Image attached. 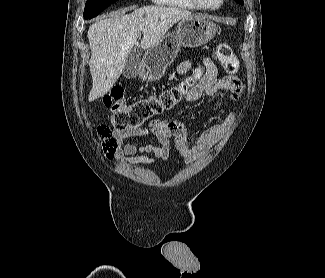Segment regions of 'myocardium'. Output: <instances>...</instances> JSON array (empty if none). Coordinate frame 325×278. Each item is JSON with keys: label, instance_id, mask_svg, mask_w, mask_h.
<instances>
[{"label": "myocardium", "instance_id": "1", "mask_svg": "<svg viewBox=\"0 0 325 278\" xmlns=\"http://www.w3.org/2000/svg\"><path fill=\"white\" fill-rule=\"evenodd\" d=\"M225 0H220V2L216 6H208L206 5L202 0H194V2L201 8L205 10H216L219 9L223 4Z\"/></svg>", "mask_w": 325, "mask_h": 278}]
</instances>
